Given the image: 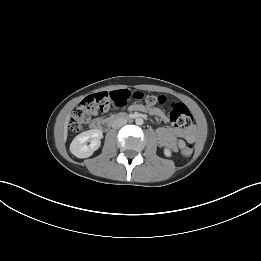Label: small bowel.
Returning a JSON list of instances; mask_svg holds the SVG:
<instances>
[{
  "instance_id": "small-bowel-1",
  "label": "small bowel",
  "mask_w": 261,
  "mask_h": 261,
  "mask_svg": "<svg viewBox=\"0 0 261 261\" xmlns=\"http://www.w3.org/2000/svg\"><path fill=\"white\" fill-rule=\"evenodd\" d=\"M137 110L141 112H148L165 122L168 121L167 115L159 108H145L143 106L137 107ZM156 135L161 147L176 152L178 148H182L185 145V141L191 142L195 139L194 129H181L179 127L167 126L159 128L156 131Z\"/></svg>"
}]
</instances>
